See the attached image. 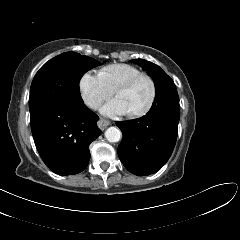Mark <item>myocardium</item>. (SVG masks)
Listing matches in <instances>:
<instances>
[{"mask_svg": "<svg viewBox=\"0 0 240 240\" xmlns=\"http://www.w3.org/2000/svg\"><path fill=\"white\" fill-rule=\"evenodd\" d=\"M141 78H146L149 80L150 85H151V96H150L148 103L146 104V106L144 108H142L139 111L129 113V115L132 117H142L151 110V108L154 104L155 98H156V84H155L153 77L147 73H140V74L135 75V76L131 77L130 79L124 81L115 89V94L118 95L119 92L132 87Z\"/></svg>", "mask_w": 240, "mask_h": 240, "instance_id": "1", "label": "myocardium"}]
</instances>
